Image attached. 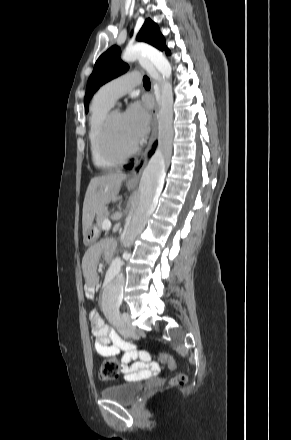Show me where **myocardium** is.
<instances>
[{
    "instance_id": "1",
    "label": "myocardium",
    "mask_w": 291,
    "mask_h": 440,
    "mask_svg": "<svg viewBox=\"0 0 291 440\" xmlns=\"http://www.w3.org/2000/svg\"><path fill=\"white\" fill-rule=\"evenodd\" d=\"M118 112L116 110L109 111L103 120L100 128V143L104 155L117 163L124 162L132 157L139 149V143L137 142L134 146L124 152L116 150L111 143V126L114 114Z\"/></svg>"
}]
</instances>
